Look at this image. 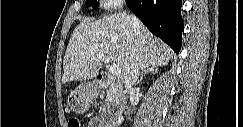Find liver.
<instances>
[{
  "instance_id": "obj_1",
  "label": "liver",
  "mask_w": 243,
  "mask_h": 127,
  "mask_svg": "<svg viewBox=\"0 0 243 127\" xmlns=\"http://www.w3.org/2000/svg\"><path fill=\"white\" fill-rule=\"evenodd\" d=\"M137 51L142 71L151 66L167 65L172 55L142 23L139 22V28L135 29L130 15L117 13L98 20H83L69 40L63 60L62 83L94 78L102 67L97 53L117 64L124 78Z\"/></svg>"
}]
</instances>
